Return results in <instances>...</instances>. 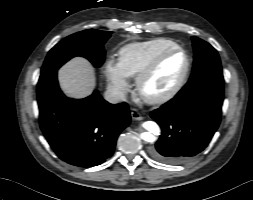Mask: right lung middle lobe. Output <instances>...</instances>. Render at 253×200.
I'll return each mask as SVG.
<instances>
[{"label": "right lung middle lobe", "mask_w": 253, "mask_h": 200, "mask_svg": "<svg viewBox=\"0 0 253 200\" xmlns=\"http://www.w3.org/2000/svg\"><path fill=\"white\" fill-rule=\"evenodd\" d=\"M111 36L109 31L84 30L68 36L56 44L48 53L41 74L58 70L75 56H82L99 67L104 62V43Z\"/></svg>", "instance_id": "dd1d6c3e"}]
</instances>
